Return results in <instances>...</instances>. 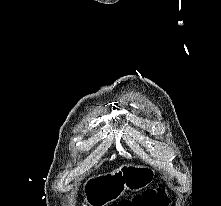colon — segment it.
<instances>
[{"label": "colon", "mask_w": 221, "mask_h": 206, "mask_svg": "<svg viewBox=\"0 0 221 206\" xmlns=\"http://www.w3.org/2000/svg\"><path fill=\"white\" fill-rule=\"evenodd\" d=\"M167 200L164 198L161 187L149 189L135 196L131 200H121L111 206H166Z\"/></svg>", "instance_id": "colon-1"}]
</instances>
